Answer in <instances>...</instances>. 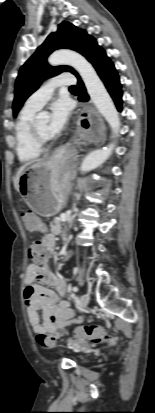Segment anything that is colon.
Instances as JSON below:
<instances>
[{"label": "colon", "mask_w": 155, "mask_h": 413, "mask_svg": "<svg viewBox=\"0 0 155 413\" xmlns=\"http://www.w3.org/2000/svg\"><path fill=\"white\" fill-rule=\"evenodd\" d=\"M29 257L37 262L42 263L46 259V249L40 242H35L29 251ZM73 342L75 348H83L87 343L93 344H107L115 345L116 339L103 327L85 325L84 327L77 329L73 335ZM40 345L46 348H51L55 344V340L47 336L38 337Z\"/></svg>", "instance_id": "obj_1"}]
</instances>
